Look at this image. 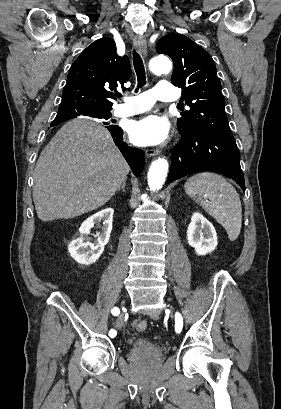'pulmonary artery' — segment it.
I'll list each match as a JSON object with an SVG mask.
<instances>
[{"mask_svg":"<svg viewBox=\"0 0 281 409\" xmlns=\"http://www.w3.org/2000/svg\"><path fill=\"white\" fill-rule=\"evenodd\" d=\"M175 88L174 81H159L158 90H145L143 94H133V102H123L122 107H114L113 115L122 118L150 109L155 104V99L173 103L177 97Z\"/></svg>","mask_w":281,"mask_h":409,"instance_id":"1","label":"pulmonary artery"}]
</instances>
